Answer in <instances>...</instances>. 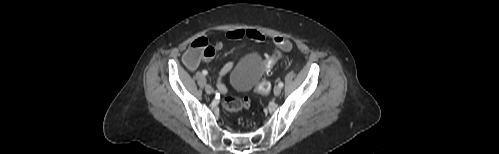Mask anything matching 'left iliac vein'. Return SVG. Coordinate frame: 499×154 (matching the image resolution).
<instances>
[{"label":"left iliac vein","mask_w":499,"mask_h":154,"mask_svg":"<svg viewBox=\"0 0 499 154\" xmlns=\"http://www.w3.org/2000/svg\"><path fill=\"white\" fill-rule=\"evenodd\" d=\"M281 94V88L279 86L274 87V95L279 96Z\"/></svg>","instance_id":"left-iliac-vein-1"}]
</instances>
